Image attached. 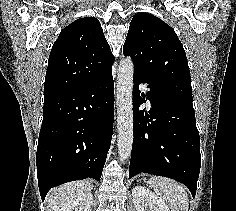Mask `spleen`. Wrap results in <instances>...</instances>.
I'll list each match as a JSON object with an SVG mask.
<instances>
[{
	"instance_id": "obj_1",
	"label": "spleen",
	"mask_w": 236,
	"mask_h": 211,
	"mask_svg": "<svg viewBox=\"0 0 236 211\" xmlns=\"http://www.w3.org/2000/svg\"><path fill=\"white\" fill-rule=\"evenodd\" d=\"M149 185L161 199L166 201L171 211H188L189 198L186 189L172 179L152 176Z\"/></svg>"
}]
</instances>
